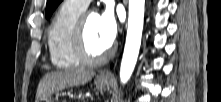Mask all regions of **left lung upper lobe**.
Instances as JSON below:
<instances>
[{"mask_svg": "<svg viewBox=\"0 0 221 102\" xmlns=\"http://www.w3.org/2000/svg\"><path fill=\"white\" fill-rule=\"evenodd\" d=\"M62 0H47L46 17L49 18Z\"/></svg>", "mask_w": 221, "mask_h": 102, "instance_id": "1", "label": "left lung upper lobe"}]
</instances>
